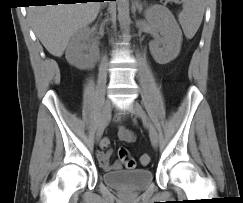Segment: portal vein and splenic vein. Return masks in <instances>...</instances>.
Wrapping results in <instances>:
<instances>
[{
  "label": "portal vein and splenic vein",
  "mask_w": 243,
  "mask_h": 203,
  "mask_svg": "<svg viewBox=\"0 0 243 203\" xmlns=\"http://www.w3.org/2000/svg\"><path fill=\"white\" fill-rule=\"evenodd\" d=\"M167 1H175V0H167Z\"/></svg>",
  "instance_id": "portal-vein-and-splenic-vein-1"
}]
</instances>
